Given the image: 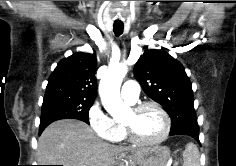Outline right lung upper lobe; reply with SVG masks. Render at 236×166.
I'll use <instances>...</instances> for the list:
<instances>
[{
    "mask_svg": "<svg viewBox=\"0 0 236 166\" xmlns=\"http://www.w3.org/2000/svg\"><path fill=\"white\" fill-rule=\"evenodd\" d=\"M96 68L95 53L79 52L62 59L49 77L45 96L58 94L95 100Z\"/></svg>",
    "mask_w": 236,
    "mask_h": 166,
    "instance_id": "cb5924a9",
    "label": "right lung upper lobe"
}]
</instances>
